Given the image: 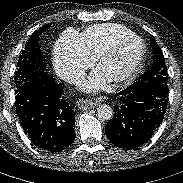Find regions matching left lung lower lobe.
Instances as JSON below:
<instances>
[{
	"mask_svg": "<svg viewBox=\"0 0 183 183\" xmlns=\"http://www.w3.org/2000/svg\"><path fill=\"white\" fill-rule=\"evenodd\" d=\"M167 98L157 97L130 87L119 92V103L105 132L116 146L134 149L147 142L162 123Z\"/></svg>",
	"mask_w": 183,
	"mask_h": 183,
	"instance_id": "left-lung-lower-lobe-1",
	"label": "left lung lower lobe"
}]
</instances>
